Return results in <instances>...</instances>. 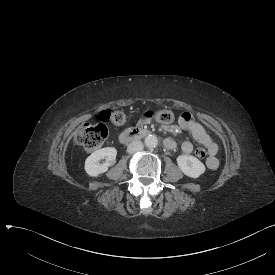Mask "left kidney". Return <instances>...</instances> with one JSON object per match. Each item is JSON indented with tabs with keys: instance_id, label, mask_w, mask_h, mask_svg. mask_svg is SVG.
Here are the masks:
<instances>
[{
	"instance_id": "obj_1",
	"label": "left kidney",
	"mask_w": 275,
	"mask_h": 275,
	"mask_svg": "<svg viewBox=\"0 0 275 275\" xmlns=\"http://www.w3.org/2000/svg\"><path fill=\"white\" fill-rule=\"evenodd\" d=\"M177 164L185 175L192 178H198L205 172V165L194 156L180 155Z\"/></svg>"
}]
</instances>
